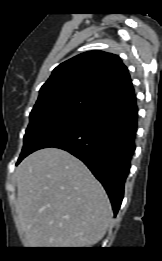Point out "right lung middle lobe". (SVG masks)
I'll list each match as a JSON object with an SVG mask.
<instances>
[{
  "label": "right lung middle lobe",
  "mask_w": 162,
  "mask_h": 261,
  "mask_svg": "<svg viewBox=\"0 0 162 261\" xmlns=\"http://www.w3.org/2000/svg\"><path fill=\"white\" fill-rule=\"evenodd\" d=\"M101 103L81 92H67L38 98L30 113L20 157L34 151L37 145L63 124L92 110Z\"/></svg>",
  "instance_id": "right-lung-middle-lobe-1"
}]
</instances>
